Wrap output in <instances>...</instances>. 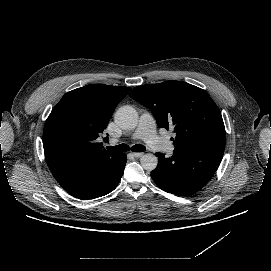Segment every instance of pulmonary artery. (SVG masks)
<instances>
[{
  "label": "pulmonary artery",
  "instance_id": "pulmonary-artery-1",
  "mask_svg": "<svg viewBox=\"0 0 271 271\" xmlns=\"http://www.w3.org/2000/svg\"><path fill=\"white\" fill-rule=\"evenodd\" d=\"M132 138L142 139L148 144H165L164 151L168 154H172L174 151V146L170 142H166L157 136L155 121L153 116L148 112H145L140 116L138 126L134 131ZM117 142L118 139H110V144L112 145Z\"/></svg>",
  "mask_w": 271,
  "mask_h": 271
}]
</instances>
